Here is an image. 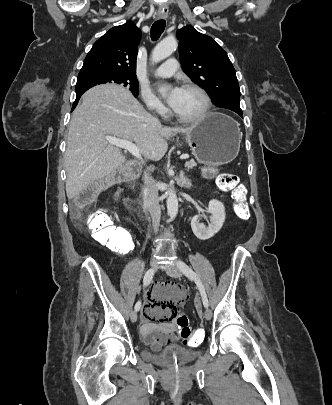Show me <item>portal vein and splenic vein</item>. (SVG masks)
I'll return each instance as SVG.
<instances>
[{"label":"portal vein and splenic vein","instance_id":"portal-vein-and-splenic-vein-1","mask_svg":"<svg viewBox=\"0 0 332 405\" xmlns=\"http://www.w3.org/2000/svg\"><path fill=\"white\" fill-rule=\"evenodd\" d=\"M106 140H107L110 144H112V145H114V146H116V147H118V148L127 150L129 153H131L133 156H135L136 158L140 159V160L143 162L142 156H141V154H140V152H139L137 146H136L134 143H132V142H130V141H127V140H122V139H119V138H115V137H112V136H106ZM180 158H181L182 160H183V159H187V158H188V155H186V154H185V155H182ZM187 163H188V162H186L185 165H186Z\"/></svg>","mask_w":332,"mask_h":405}]
</instances>
